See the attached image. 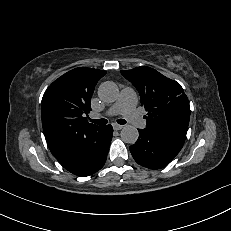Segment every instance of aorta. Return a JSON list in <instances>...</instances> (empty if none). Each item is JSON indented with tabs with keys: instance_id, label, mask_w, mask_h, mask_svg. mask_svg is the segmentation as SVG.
Wrapping results in <instances>:
<instances>
[{
	"instance_id": "1",
	"label": "aorta",
	"mask_w": 231,
	"mask_h": 231,
	"mask_svg": "<svg viewBox=\"0 0 231 231\" xmlns=\"http://www.w3.org/2000/svg\"><path fill=\"white\" fill-rule=\"evenodd\" d=\"M98 96L105 102H114L118 96L117 85L111 81L103 82L98 88ZM120 136L125 143L134 144L139 137V132L136 127L126 125L122 128Z\"/></svg>"
}]
</instances>
